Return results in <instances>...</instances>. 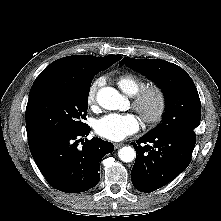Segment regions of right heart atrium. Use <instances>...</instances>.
Returning a JSON list of instances; mask_svg holds the SVG:
<instances>
[{
	"label": "right heart atrium",
	"mask_w": 221,
	"mask_h": 221,
	"mask_svg": "<svg viewBox=\"0 0 221 221\" xmlns=\"http://www.w3.org/2000/svg\"><path fill=\"white\" fill-rule=\"evenodd\" d=\"M103 84V79L99 78L96 79L95 81H93L88 90H87V104L89 107H95L96 106V97H97V92L99 90V88L102 86Z\"/></svg>",
	"instance_id": "1"
}]
</instances>
